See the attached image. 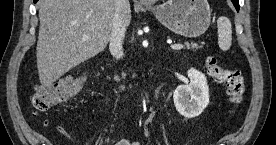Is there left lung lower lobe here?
Masks as SVG:
<instances>
[{
  "instance_id": "obj_1",
  "label": "left lung lower lobe",
  "mask_w": 276,
  "mask_h": 145,
  "mask_svg": "<svg viewBox=\"0 0 276 145\" xmlns=\"http://www.w3.org/2000/svg\"><path fill=\"white\" fill-rule=\"evenodd\" d=\"M236 8L237 11H239V0H231Z\"/></svg>"
}]
</instances>
